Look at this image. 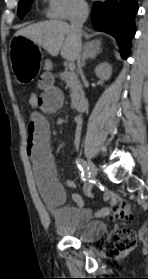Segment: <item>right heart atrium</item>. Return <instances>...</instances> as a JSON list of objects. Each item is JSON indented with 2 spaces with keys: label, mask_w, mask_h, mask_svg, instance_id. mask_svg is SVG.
<instances>
[{
  "label": "right heart atrium",
  "mask_w": 148,
  "mask_h": 279,
  "mask_svg": "<svg viewBox=\"0 0 148 279\" xmlns=\"http://www.w3.org/2000/svg\"><path fill=\"white\" fill-rule=\"evenodd\" d=\"M47 15L54 19L71 20L83 16L87 11L84 0H47Z\"/></svg>",
  "instance_id": "right-heart-atrium-1"
}]
</instances>
